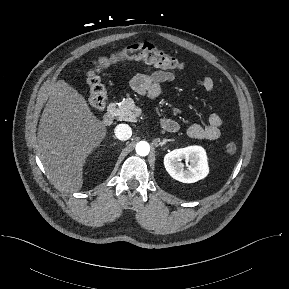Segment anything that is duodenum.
Segmentation results:
<instances>
[{
	"instance_id": "410a0bca",
	"label": "duodenum",
	"mask_w": 289,
	"mask_h": 289,
	"mask_svg": "<svg viewBox=\"0 0 289 289\" xmlns=\"http://www.w3.org/2000/svg\"><path fill=\"white\" fill-rule=\"evenodd\" d=\"M114 119V106H109L107 111L104 113L102 122L104 125H110Z\"/></svg>"
}]
</instances>
